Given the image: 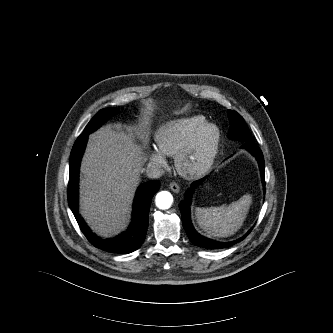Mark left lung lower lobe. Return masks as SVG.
Masks as SVG:
<instances>
[{"label": "left lung lower lobe", "instance_id": "obj_1", "mask_svg": "<svg viewBox=\"0 0 333 333\" xmlns=\"http://www.w3.org/2000/svg\"><path fill=\"white\" fill-rule=\"evenodd\" d=\"M243 147L246 148L247 150H249L256 157V159L259 163V166H260L262 182L264 185L265 184L264 158H263L262 152L256 145H253L252 143H246ZM201 181L202 180H198L191 184V188L186 192L184 200H182L179 204V208H180L181 215H182L183 227H184L190 241L199 247L208 248V249H222V248H227L231 245H234L235 243H237L240 240H243L246 236H244L238 240L232 241V242H218V241L206 238L204 236H201L194 229V227L191 223V218H190V204H191L193 190L198 186V184Z\"/></svg>", "mask_w": 333, "mask_h": 333}]
</instances>
